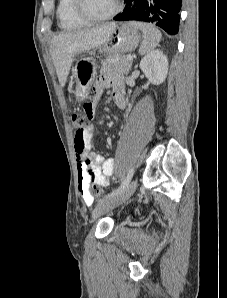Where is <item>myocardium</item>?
Segmentation results:
<instances>
[{
    "instance_id": "obj_1",
    "label": "myocardium",
    "mask_w": 227,
    "mask_h": 298,
    "mask_svg": "<svg viewBox=\"0 0 227 298\" xmlns=\"http://www.w3.org/2000/svg\"><path fill=\"white\" fill-rule=\"evenodd\" d=\"M123 8L122 0H117L115 8L105 16L92 15L86 5V0H75V10L80 18L88 23H100L114 18Z\"/></svg>"
}]
</instances>
